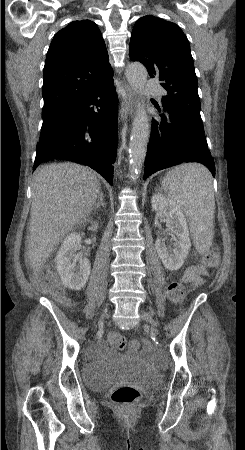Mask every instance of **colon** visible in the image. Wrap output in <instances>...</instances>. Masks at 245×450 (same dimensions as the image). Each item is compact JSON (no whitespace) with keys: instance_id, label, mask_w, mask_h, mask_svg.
Here are the masks:
<instances>
[{"instance_id":"obj_1","label":"colon","mask_w":245,"mask_h":450,"mask_svg":"<svg viewBox=\"0 0 245 450\" xmlns=\"http://www.w3.org/2000/svg\"><path fill=\"white\" fill-rule=\"evenodd\" d=\"M219 253L216 249H209L206 253L201 255L196 260V265L202 268H215L218 264ZM37 288L48 293L51 296L62 299L63 292L61 287L58 285L56 276L48 271H44L37 277L36 281ZM167 294L169 300L176 305H182L186 299V289L184 284L179 281H172L167 289ZM110 343L119 350H124L128 347V341L126 338L112 334L109 337ZM140 391L130 385H120L113 389L111 394V401L121 410L125 411L132 407V405L140 397Z\"/></svg>"}]
</instances>
